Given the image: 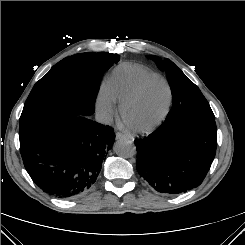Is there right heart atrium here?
<instances>
[{
  "mask_svg": "<svg viewBox=\"0 0 245 245\" xmlns=\"http://www.w3.org/2000/svg\"><path fill=\"white\" fill-rule=\"evenodd\" d=\"M96 109L100 117L109 121L117 114L116 102L108 86L102 85L96 98Z\"/></svg>",
  "mask_w": 245,
  "mask_h": 245,
  "instance_id": "1",
  "label": "right heart atrium"
}]
</instances>
